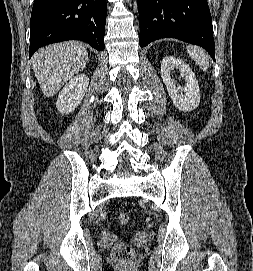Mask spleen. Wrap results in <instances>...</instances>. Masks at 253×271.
<instances>
[{
	"label": "spleen",
	"mask_w": 253,
	"mask_h": 271,
	"mask_svg": "<svg viewBox=\"0 0 253 271\" xmlns=\"http://www.w3.org/2000/svg\"><path fill=\"white\" fill-rule=\"evenodd\" d=\"M187 52L189 56L196 61V63L206 71L209 67L208 55L200 48L195 46H188Z\"/></svg>",
	"instance_id": "obj_1"
}]
</instances>
